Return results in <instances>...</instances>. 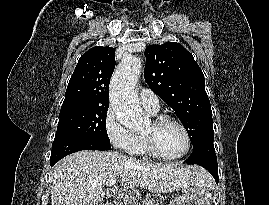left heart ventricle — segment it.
Masks as SVG:
<instances>
[{
	"instance_id": "1",
	"label": "left heart ventricle",
	"mask_w": 269,
	"mask_h": 205,
	"mask_svg": "<svg viewBox=\"0 0 269 205\" xmlns=\"http://www.w3.org/2000/svg\"><path fill=\"white\" fill-rule=\"evenodd\" d=\"M142 133L152 135L158 150L167 156L178 155L186 147V139L183 131L171 122L163 123L157 128H154L150 122Z\"/></svg>"
}]
</instances>
